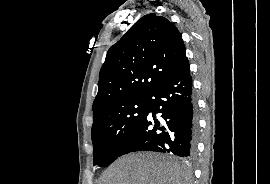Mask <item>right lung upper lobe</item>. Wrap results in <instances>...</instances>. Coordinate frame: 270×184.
Segmentation results:
<instances>
[{
    "mask_svg": "<svg viewBox=\"0 0 270 184\" xmlns=\"http://www.w3.org/2000/svg\"><path fill=\"white\" fill-rule=\"evenodd\" d=\"M186 58L173 23L153 13L140 18L107 52L93 103V122L129 100L147 97Z\"/></svg>",
    "mask_w": 270,
    "mask_h": 184,
    "instance_id": "right-lung-upper-lobe-1",
    "label": "right lung upper lobe"
}]
</instances>
